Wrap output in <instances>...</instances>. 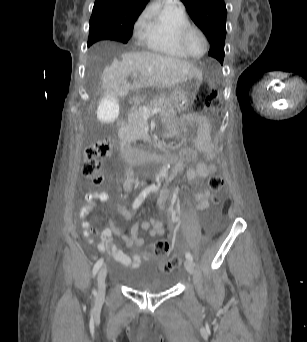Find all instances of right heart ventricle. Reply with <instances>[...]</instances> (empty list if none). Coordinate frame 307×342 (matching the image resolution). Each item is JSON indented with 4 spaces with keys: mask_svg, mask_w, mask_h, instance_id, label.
<instances>
[{
    "mask_svg": "<svg viewBox=\"0 0 307 342\" xmlns=\"http://www.w3.org/2000/svg\"><path fill=\"white\" fill-rule=\"evenodd\" d=\"M190 20L191 15L184 7L167 9L159 19V32L132 40V49L136 53L155 54L174 60L188 61L189 58L178 45V33L180 28Z\"/></svg>",
    "mask_w": 307,
    "mask_h": 342,
    "instance_id": "right-heart-ventricle-1",
    "label": "right heart ventricle"
}]
</instances>
